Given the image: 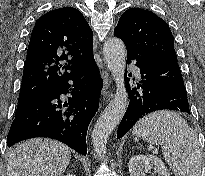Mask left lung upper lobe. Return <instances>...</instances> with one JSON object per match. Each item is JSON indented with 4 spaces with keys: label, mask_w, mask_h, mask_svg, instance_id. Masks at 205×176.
<instances>
[{
    "label": "left lung upper lobe",
    "mask_w": 205,
    "mask_h": 176,
    "mask_svg": "<svg viewBox=\"0 0 205 176\" xmlns=\"http://www.w3.org/2000/svg\"><path fill=\"white\" fill-rule=\"evenodd\" d=\"M114 35L122 39L128 51L152 61L177 62L168 24L151 11L128 9L120 17Z\"/></svg>",
    "instance_id": "5c2ea615"
}]
</instances>
